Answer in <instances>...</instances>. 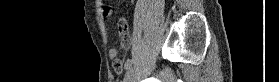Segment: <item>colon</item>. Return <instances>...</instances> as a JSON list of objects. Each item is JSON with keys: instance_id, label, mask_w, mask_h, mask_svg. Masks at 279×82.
I'll return each mask as SVG.
<instances>
[{"instance_id": "5ec220e1", "label": "colon", "mask_w": 279, "mask_h": 82, "mask_svg": "<svg viewBox=\"0 0 279 82\" xmlns=\"http://www.w3.org/2000/svg\"><path fill=\"white\" fill-rule=\"evenodd\" d=\"M125 25V20L124 19H120L119 20V26L123 27Z\"/></svg>"}]
</instances>
